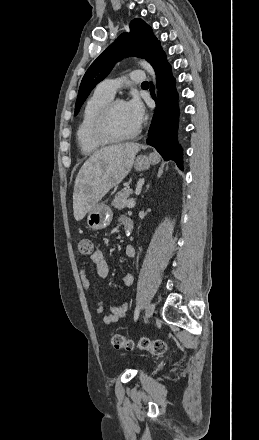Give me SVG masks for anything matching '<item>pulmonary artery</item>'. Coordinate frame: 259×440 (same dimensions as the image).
<instances>
[{
	"label": "pulmonary artery",
	"instance_id": "1",
	"mask_svg": "<svg viewBox=\"0 0 259 440\" xmlns=\"http://www.w3.org/2000/svg\"><path fill=\"white\" fill-rule=\"evenodd\" d=\"M145 80V74L141 70H134L129 74L128 79H106L102 81L97 89L111 97L115 95L117 90L123 85V83L139 84Z\"/></svg>",
	"mask_w": 259,
	"mask_h": 440
}]
</instances>
